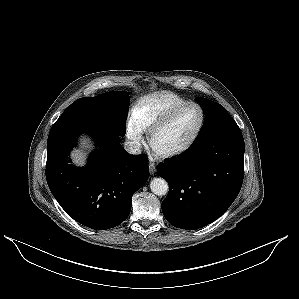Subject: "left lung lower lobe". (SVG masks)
<instances>
[{
  "label": "left lung lower lobe",
  "instance_id": "obj_1",
  "mask_svg": "<svg viewBox=\"0 0 299 299\" xmlns=\"http://www.w3.org/2000/svg\"><path fill=\"white\" fill-rule=\"evenodd\" d=\"M244 140L233 118L179 157L160 164L170 190L161 207L167 221L186 230L218 219L233 203L244 176Z\"/></svg>",
  "mask_w": 299,
  "mask_h": 299
}]
</instances>
